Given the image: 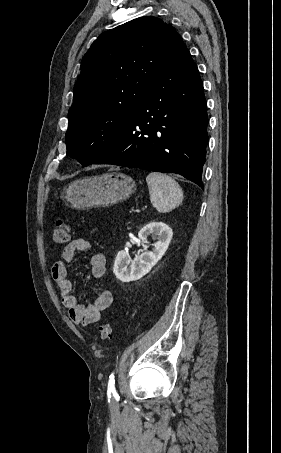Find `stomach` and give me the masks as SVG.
<instances>
[{
	"label": "stomach",
	"mask_w": 281,
	"mask_h": 453,
	"mask_svg": "<svg viewBox=\"0 0 281 453\" xmlns=\"http://www.w3.org/2000/svg\"><path fill=\"white\" fill-rule=\"evenodd\" d=\"M136 190V182L123 172H106L85 176L70 182L63 196L72 208L86 210L92 206H111L129 198Z\"/></svg>",
	"instance_id": "1"
}]
</instances>
